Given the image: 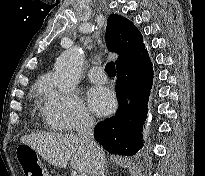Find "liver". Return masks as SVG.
<instances>
[{
    "label": "liver",
    "mask_w": 205,
    "mask_h": 176,
    "mask_svg": "<svg viewBox=\"0 0 205 176\" xmlns=\"http://www.w3.org/2000/svg\"><path fill=\"white\" fill-rule=\"evenodd\" d=\"M20 140L56 167L64 168L70 161L72 169L91 175L93 155L76 135L41 132Z\"/></svg>",
    "instance_id": "1"
}]
</instances>
